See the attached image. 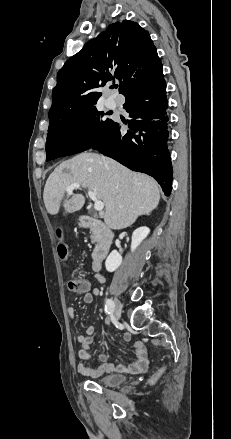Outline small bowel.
I'll use <instances>...</instances> for the list:
<instances>
[{"label": "small bowel", "instance_id": "1", "mask_svg": "<svg viewBox=\"0 0 231 439\" xmlns=\"http://www.w3.org/2000/svg\"><path fill=\"white\" fill-rule=\"evenodd\" d=\"M95 278L101 284L106 282V279L99 274L98 272L95 274ZM100 290L98 288H88L84 292L83 301L86 304H90L93 300L99 296ZM68 315L73 320L75 318V309L72 306L68 307ZM94 327L92 325L86 328V334H79L76 337V341L79 345V358L83 361H87L90 359V347L93 342L94 335ZM123 339L128 342L131 340V336L129 333H125ZM135 355L136 358L133 362L128 365H113L107 361V356L105 354L100 355L101 363L98 366H90L86 363H80L78 365V371L86 376L90 377H98L105 373L112 372H130V373H141L144 372L149 365V361L147 358V349L142 342L134 343Z\"/></svg>", "mask_w": 231, "mask_h": 439}]
</instances>
